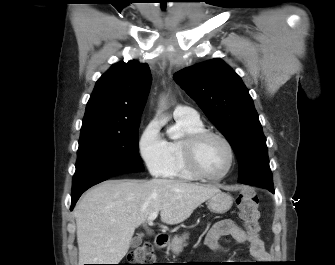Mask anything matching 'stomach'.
<instances>
[{"label": "stomach", "instance_id": "obj_1", "mask_svg": "<svg viewBox=\"0 0 335 265\" xmlns=\"http://www.w3.org/2000/svg\"><path fill=\"white\" fill-rule=\"evenodd\" d=\"M233 204L231 195L225 192H217L207 201V206L211 212L223 214L227 212Z\"/></svg>", "mask_w": 335, "mask_h": 265}]
</instances>
